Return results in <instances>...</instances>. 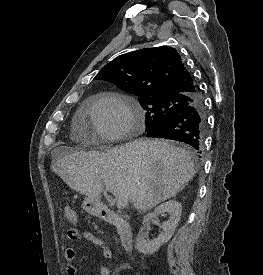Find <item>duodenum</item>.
I'll list each match as a JSON object with an SVG mask.
<instances>
[{"instance_id":"410a0bca","label":"duodenum","mask_w":263,"mask_h":275,"mask_svg":"<svg viewBox=\"0 0 263 275\" xmlns=\"http://www.w3.org/2000/svg\"><path fill=\"white\" fill-rule=\"evenodd\" d=\"M100 217L103 221L116 227L122 247L126 251L131 250L133 245V233L129 222L106 207L100 209Z\"/></svg>"}]
</instances>
